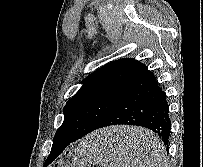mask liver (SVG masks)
I'll return each instance as SVG.
<instances>
[{"label": "liver", "mask_w": 203, "mask_h": 167, "mask_svg": "<svg viewBox=\"0 0 203 167\" xmlns=\"http://www.w3.org/2000/svg\"><path fill=\"white\" fill-rule=\"evenodd\" d=\"M102 133L109 135L114 140L111 150L114 160L127 162L133 167H138L140 145L150 134L149 131L138 127L119 126L104 129Z\"/></svg>", "instance_id": "obj_1"}]
</instances>
